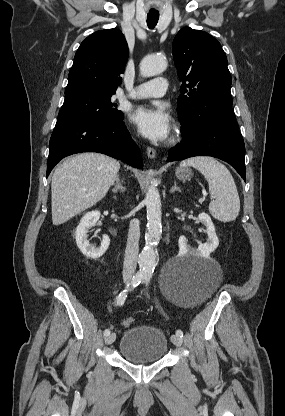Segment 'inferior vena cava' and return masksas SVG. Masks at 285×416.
Listing matches in <instances>:
<instances>
[{
	"label": "inferior vena cava",
	"instance_id": "602c4592",
	"mask_svg": "<svg viewBox=\"0 0 285 416\" xmlns=\"http://www.w3.org/2000/svg\"><path fill=\"white\" fill-rule=\"evenodd\" d=\"M140 228L138 220H131L123 264V274H134L138 260Z\"/></svg>",
	"mask_w": 285,
	"mask_h": 416
}]
</instances>
